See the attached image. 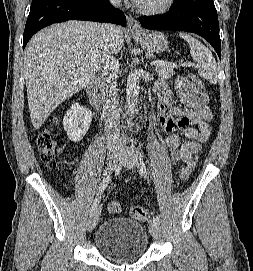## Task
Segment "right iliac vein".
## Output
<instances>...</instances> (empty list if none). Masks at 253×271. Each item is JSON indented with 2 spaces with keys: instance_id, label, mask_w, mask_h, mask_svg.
Here are the masks:
<instances>
[{
  "instance_id": "1",
  "label": "right iliac vein",
  "mask_w": 253,
  "mask_h": 271,
  "mask_svg": "<svg viewBox=\"0 0 253 271\" xmlns=\"http://www.w3.org/2000/svg\"><path fill=\"white\" fill-rule=\"evenodd\" d=\"M121 157V153L119 151H109L107 155L108 163H107V171L111 173L117 166ZM100 210L96 209L91 215L88 220V231L91 232L97 225L99 221Z\"/></svg>"
}]
</instances>
